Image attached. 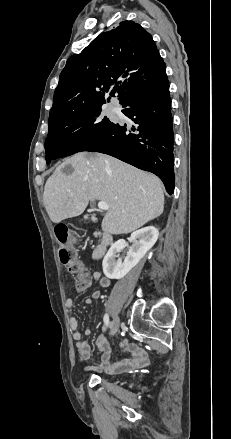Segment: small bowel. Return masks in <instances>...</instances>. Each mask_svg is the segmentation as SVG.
<instances>
[{"instance_id":"1","label":"small bowel","mask_w":231,"mask_h":439,"mask_svg":"<svg viewBox=\"0 0 231 439\" xmlns=\"http://www.w3.org/2000/svg\"><path fill=\"white\" fill-rule=\"evenodd\" d=\"M92 280L98 283L101 287L107 288L110 286V280L96 271L92 274ZM102 294L99 290H95L91 296L85 299L86 304H92L95 300H99ZM66 307L69 312V326L73 332V339L76 342V348L79 356L88 360L90 358V345L87 340L83 339L82 334L78 330V320L74 316V301L71 297L66 299ZM105 328L103 327V330ZM91 329L85 328L84 334L90 335ZM96 345L100 351V365L97 367H90L89 369L95 371H105L107 373H120L129 369L144 367L148 363L147 353L141 347L135 344H129L124 339L120 347L127 355L119 360H112V350L107 342L104 334H100L96 339Z\"/></svg>"}]
</instances>
